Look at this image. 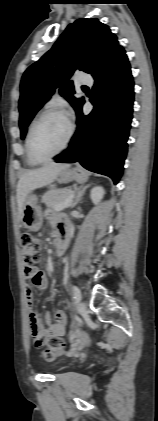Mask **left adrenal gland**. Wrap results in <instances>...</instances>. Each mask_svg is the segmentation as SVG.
<instances>
[{
	"label": "left adrenal gland",
	"mask_w": 158,
	"mask_h": 421,
	"mask_svg": "<svg viewBox=\"0 0 158 421\" xmlns=\"http://www.w3.org/2000/svg\"><path fill=\"white\" fill-rule=\"evenodd\" d=\"M90 184L87 185H81L77 188H75V196H74V200L73 203L71 204V208H74L80 201L82 196L85 194L87 188H89Z\"/></svg>",
	"instance_id": "obj_1"
}]
</instances>
